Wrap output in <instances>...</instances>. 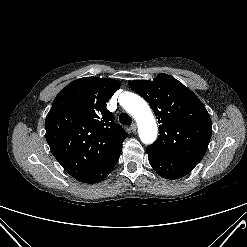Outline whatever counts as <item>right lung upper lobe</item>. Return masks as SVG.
<instances>
[{
  "mask_svg": "<svg viewBox=\"0 0 247 247\" xmlns=\"http://www.w3.org/2000/svg\"><path fill=\"white\" fill-rule=\"evenodd\" d=\"M119 87L117 80L84 77L65 86L53 101L45 120L46 140L77 180L120 152L127 138L105 107Z\"/></svg>",
  "mask_w": 247,
  "mask_h": 247,
  "instance_id": "1",
  "label": "right lung upper lobe"
}]
</instances>
